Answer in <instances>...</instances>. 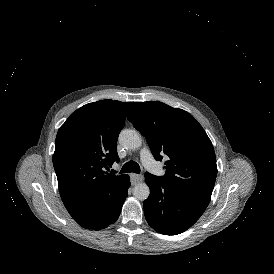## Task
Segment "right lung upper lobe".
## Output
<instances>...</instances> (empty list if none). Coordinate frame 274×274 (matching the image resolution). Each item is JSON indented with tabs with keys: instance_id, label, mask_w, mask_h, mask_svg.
I'll return each instance as SVG.
<instances>
[{
	"instance_id": "right-lung-upper-lobe-1",
	"label": "right lung upper lobe",
	"mask_w": 274,
	"mask_h": 274,
	"mask_svg": "<svg viewBox=\"0 0 274 274\" xmlns=\"http://www.w3.org/2000/svg\"><path fill=\"white\" fill-rule=\"evenodd\" d=\"M132 104L109 99L86 104L58 130L53 165L72 217L93 211L127 176L104 170L119 162L117 139Z\"/></svg>"
}]
</instances>
